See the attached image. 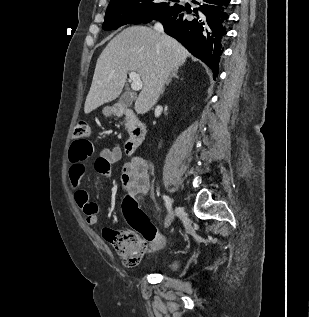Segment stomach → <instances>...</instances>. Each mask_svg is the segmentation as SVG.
Wrapping results in <instances>:
<instances>
[{
	"label": "stomach",
	"mask_w": 309,
	"mask_h": 317,
	"mask_svg": "<svg viewBox=\"0 0 309 317\" xmlns=\"http://www.w3.org/2000/svg\"><path fill=\"white\" fill-rule=\"evenodd\" d=\"M111 113H112V110H111V109H109V108H104L103 114H104L105 116H109Z\"/></svg>",
	"instance_id": "stomach-1"
}]
</instances>
